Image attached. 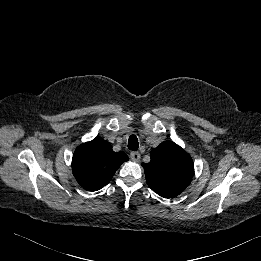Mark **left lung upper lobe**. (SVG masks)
<instances>
[{
    "mask_svg": "<svg viewBox=\"0 0 261 261\" xmlns=\"http://www.w3.org/2000/svg\"><path fill=\"white\" fill-rule=\"evenodd\" d=\"M143 163L149 187L164 198L182 193L194 175V164L188 153L172 141L162 142Z\"/></svg>",
    "mask_w": 261,
    "mask_h": 261,
    "instance_id": "left-lung-upper-lobe-1",
    "label": "left lung upper lobe"
}]
</instances>
